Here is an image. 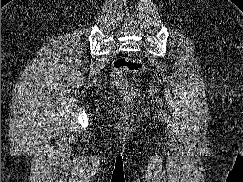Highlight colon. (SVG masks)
I'll use <instances>...</instances> for the list:
<instances>
[{
	"label": "colon",
	"mask_w": 243,
	"mask_h": 182,
	"mask_svg": "<svg viewBox=\"0 0 243 182\" xmlns=\"http://www.w3.org/2000/svg\"><path fill=\"white\" fill-rule=\"evenodd\" d=\"M143 68L139 61L121 57L116 59L111 67L112 84L123 93H130L131 87L125 78L126 73H137Z\"/></svg>",
	"instance_id": "5ec220e1"
}]
</instances>
